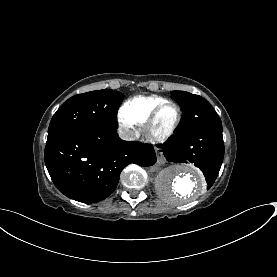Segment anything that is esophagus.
Wrapping results in <instances>:
<instances>
[{
  "instance_id": "obj_1",
  "label": "esophagus",
  "mask_w": 277,
  "mask_h": 277,
  "mask_svg": "<svg viewBox=\"0 0 277 277\" xmlns=\"http://www.w3.org/2000/svg\"><path fill=\"white\" fill-rule=\"evenodd\" d=\"M158 162H159L160 164H163V163L165 162V159L162 157V158L158 159Z\"/></svg>"
}]
</instances>
